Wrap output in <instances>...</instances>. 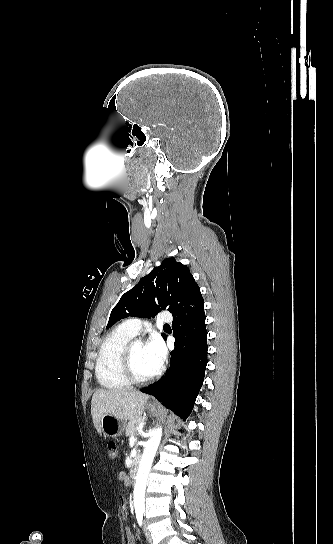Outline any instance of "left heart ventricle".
Returning a JSON list of instances; mask_svg holds the SVG:
<instances>
[{
  "label": "left heart ventricle",
  "instance_id": "1",
  "mask_svg": "<svg viewBox=\"0 0 333 544\" xmlns=\"http://www.w3.org/2000/svg\"><path fill=\"white\" fill-rule=\"evenodd\" d=\"M146 345L140 342H136L132 348V363L133 368L137 376L140 378H146L154 374L155 369L152 367L148 356L146 354Z\"/></svg>",
  "mask_w": 333,
  "mask_h": 544
}]
</instances>
